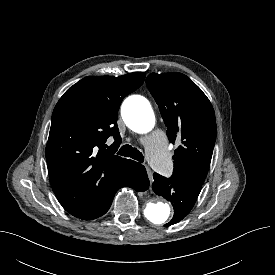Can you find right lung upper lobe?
Wrapping results in <instances>:
<instances>
[{
	"label": "right lung upper lobe",
	"mask_w": 275,
	"mask_h": 275,
	"mask_svg": "<svg viewBox=\"0 0 275 275\" xmlns=\"http://www.w3.org/2000/svg\"><path fill=\"white\" fill-rule=\"evenodd\" d=\"M144 79V72L85 77L56 104L46 161L53 191L71 215L85 219L94 213L135 162L115 155L121 142L117 113L124 97ZM109 136L116 148L105 144Z\"/></svg>",
	"instance_id": "1"
}]
</instances>
